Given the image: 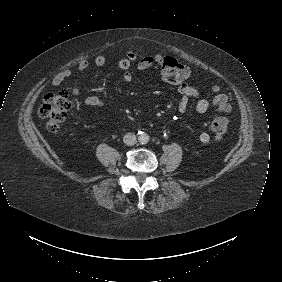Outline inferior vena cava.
Wrapping results in <instances>:
<instances>
[{
	"instance_id": "1",
	"label": "inferior vena cava",
	"mask_w": 282,
	"mask_h": 282,
	"mask_svg": "<svg viewBox=\"0 0 282 282\" xmlns=\"http://www.w3.org/2000/svg\"><path fill=\"white\" fill-rule=\"evenodd\" d=\"M123 142L125 145L133 146L137 143V138L133 133H127L123 136Z\"/></svg>"
}]
</instances>
